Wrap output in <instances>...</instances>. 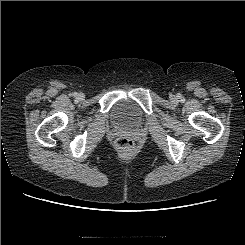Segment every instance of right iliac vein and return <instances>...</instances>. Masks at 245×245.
Here are the masks:
<instances>
[{
	"label": "right iliac vein",
	"mask_w": 245,
	"mask_h": 245,
	"mask_svg": "<svg viewBox=\"0 0 245 245\" xmlns=\"http://www.w3.org/2000/svg\"><path fill=\"white\" fill-rule=\"evenodd\" d=\"M83 97H84L83 94H81V93L78 94V98H79V99H82Z\"/></svg>",
	"instance_id": "obj_1"
}]
</instances>
